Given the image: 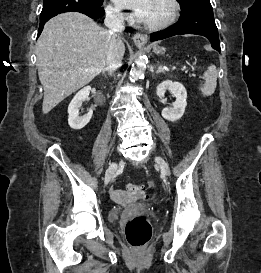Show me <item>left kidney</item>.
Instances as JSON below:
<instances>
[{
  "instance_id": "obj_1",
  "label": "left kidney",
  "mask_w": 261,
  "mask_h": 273,
  "mask_svg": "<svg viewBox=\"0 0 261 273\" xmlns=\"http://www.w3.org/2000/svg\"><path fill=\"white\" fill-rule=\"evenodd\" d=\"M166 90H169L176 97V100L173 107H166L162 110V117L168 121L174 122L179 120L184 114L187 106V92L181 83L166 80L157 86V96L163 98Z\"/></svg>"
}]
</instances>
